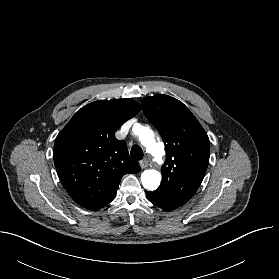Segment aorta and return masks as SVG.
Segmentation results:
<instances>
[{
	"instance_id": "762f6f07",
	"label": "aorta",
	"mask_w": 279,
	"mask_h": 279,
	"mask_svg": "<svg viewBox=\"0 0 279 279\" xmlns=\"http://www.w3.org/2000/svg\"><path fill=\"white\" fill-rule=\"evenodd\" d=\"M139 139L152 155L155 157H160L162 155L163 148L156 143L154 133L150 129L144 127L141 128ZM141 181L144 188L148 190H156L161 182V174L154 169L145 170L141 174Z\"/></svg>"
}]
</instances>
